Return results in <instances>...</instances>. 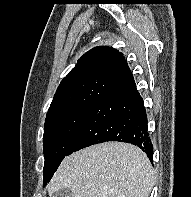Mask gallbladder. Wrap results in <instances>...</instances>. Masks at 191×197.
I'll use <instances>...</instances> for the list:
<instances>
[{
    "label": "gallbladder",
    "instance_id": "gallbladder-1",
    "mask_svg": "<svg viewBox=\"0 0 191 197\" xmlns=\"http://www.w3.org/2000/svg\"><path fill=\"white\" fill-rule=\"evenodd\" d=\"M53 197H73L72 192L69 189H61L54 193Z\"/></svg>",
    "mask_w": 191,
    "mask_h": 197
}]
</instances>
